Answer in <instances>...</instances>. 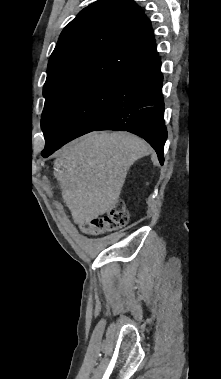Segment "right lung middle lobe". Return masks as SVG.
<instances>
[{"instance_id":"1","label":"right lung middle lobe","mask_w":221,"mask_h":379,"mask_svg":"<svg viewBox=\"0 0 221 379\" xmlns=\"http://www.w3.org/2000/svg\"><path fill=\"white\" fill-rule=\"evenodd\" d=\"M120 78L96 77L44 96V149L57 140H70L93 131L111 108Z\"/></svg>"}]
</instances>
